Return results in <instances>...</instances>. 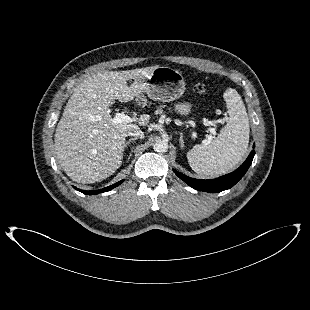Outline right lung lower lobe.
Here are the masks:
<instances>
[{"mask_svg":"<svg viewBox=\"0 0 310 310\" xmlns=\"http://www.w3.org/2000/svg\"><path fill=\"white\" fill-rule=\"evenodd\" d=\"M122 182H123V180H121V181H119V182H117V183H115V184H113V185H111V186H108V187H106V188H103V189H100V190H95V191H84V190H80V189H78V188H76V187H74V188H75L76 190H78V191L84 193V194L93 195V194H98V193H102V192L109 191V190L115 188L116 186L120 185Z\"/></svg>","mask_w":310,"mask_h":310,"instance_id":"98d812e1","label":"right lung lower lobe"}]
</instances>
